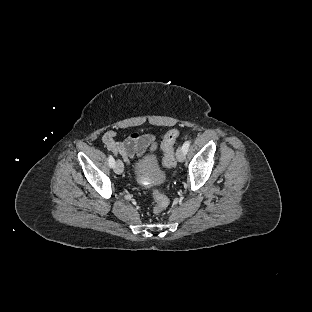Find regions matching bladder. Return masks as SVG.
Segmentation results:
<instances>
[{
  "instance_id": "bladder-1",
  "label": "bladder",
  "mask_w": 312,
  "mask_h": 312,
  "mask_svg": "<svg viewBox=\"0 0 312 312\" xmlns=\"http://www.w3.org/2000/svg\"><path fill=\"white\" fill-rule=\"evenodd\" d=\"M159 165L157 162V158L150 155L148 156L140 169L141 174H147V173H156L158 172Z\"/></svg>"
}]
</instances>
